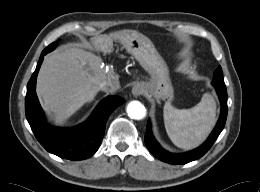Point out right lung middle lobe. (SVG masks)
I'll use <instances>...</instances> for the list:
<instances>
[{"mask_svg": "<svg viewBox=\"0 0 260 192\" xmlns=\"http://www.w3.org/2000/svg\"><path fill=\"white\" fill-rule=\"evenodd\" d=\"M56 48V42L50 44L48 47H46L44 50L47 52H51L52 50H54Z\"/></svg>", "mask_w": 260, "mask_h": 192, "instance_id": "right-lung-middle-lobe-1", "label": "right lung middle lobe"}]
</instances>
